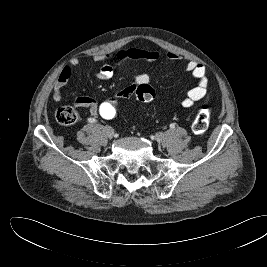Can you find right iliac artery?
<instances>
[{"mask_svg": "<svg viewBox=\"0 0 267 267\" xmlns=\"http://www.w3.org/2000/svg\"><path fill=\"white\" fill-rule=\"evenodd\" d=\"M89 122H91V123H92V122H96V120H95L94 118H90V119H89Z\"/></svg>", "mask_w": 267, "mask_h": 267, "instance_id": "right-iliac-artery-1", "label": "right iliac artery"}]
</instances>
